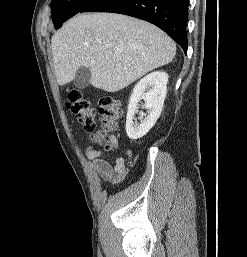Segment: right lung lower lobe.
Returning <instances> with one entry per match:
<instances>
[{
    "instance_id": "98d812e1",
    "label": "right lung lower lobe",
    "mask_w": 247,
    "mask_h": 257,
    "mask_svg": "<svg viewBox=\"0 0 247 257\" xmlns=\"http://www.w3.org/2000/svg\"><path fill=\"white\" fill-rule=\"evenodd\" d=\"M189 0H92L79 12L120 13L148 21L165 31L187 53Z\"/></svg>"
}]
</instances>
